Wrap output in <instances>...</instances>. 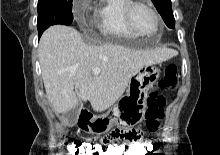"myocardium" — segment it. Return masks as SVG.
I'll use <instances>...</instances> for the list:
<instances>
[{
    "label": "myocardium",
    "mask_w": 220,
    "mask_h": 155,
    "mask_svg": "<svg viewBox=\"0 0 220 155\" xmlns=\"http://www.w3.org/2000/svg\"><path fill=\"white\" fill-rule=\"evenodd\" d=\"M137 6H144L152 13V15L154 16V18L156 20V24H157V30L152 35L159 34L162 30V20H161L160 15L156 11V9L149 2V0H128V3L125 5V8H124V19H125V23H126L127 27L129 28V30L133 34H135L136 36H143V37L149 36V35H146V34L139 32L133 23L132 14H133V10Z\"/></svg>",
    "instance_id": "myocardium-1"
}]
</instances>
